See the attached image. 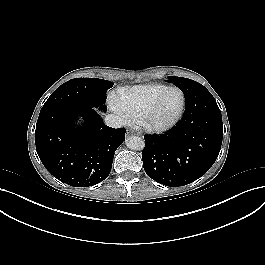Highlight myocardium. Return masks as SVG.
<instances>
[{
  "label": "myocardium",
  "instance_id": "myocardium-1",
  "mask_svg": "<svg viewBox=\"0 0 265 265\" xmlns=\"http://www.w3.org/2000/svg\"><path fill=\"white\" fill-rule=\"evenodd\" d=\"M174 90L180 93L181 96V104L178 111L175 113L173 117L164 121V122H157L153 119L154 113L159 106L160 102L164 98L167 92ZM186 107V96L183 90L177 86H168L163 91H161L158 96L154 99L151 103L149 108L147 109L144 117L139 122L140 127L145 129L151 133H164L171 130L182 118Z\"/></svg>",
  "mask_w": 265,
  "mask_h": 265
}]
</instances>
